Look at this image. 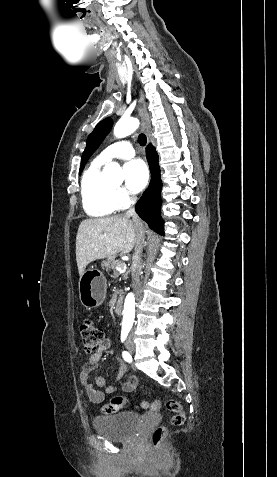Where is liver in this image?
I'll return each mask as SVG.
<instances>
[{
	"label": "liver",
	"mask_w": 277,
	"mask_h": 477,
	"mask_svg": "<svg viewBox=\"0 0 277 477\" xmlns=\"http://www.w3.org/2000/svg\"><path fill=\"white\" fill-rule=\"evenodd\" d=\"M144 226L136 225L126 215L83 220L76 236V261L79 275L86 266L97 259L111 257L118 252L129 253L137 243L139 231Z\"/></svg>",
	"instance_id": "obj_1"
}]
</instances>
